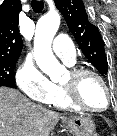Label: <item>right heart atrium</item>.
<instances>
[{
    "label": "right heart atrium",
    "instance_id": "right-heart-atrium-1",
    "mask_svg": "<svg viewBox=\"0 0 117 136\" xmlns=\"http://www.w3.org/2000/svg\"><path fill=\"white\" fill-rule=\"evenodd\" d=\"M16 83L29 99L49 104L56 85L31 60L26 59L16 73Z\"/></svg>",
    "mask_w": 117,
    "mask_h": 136
}]
</instances>
